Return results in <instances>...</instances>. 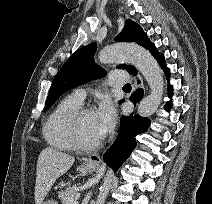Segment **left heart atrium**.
<instances>
[{"label": "left heart atrium", "mask_w": 212, "mask_h": 204, "mask_svg": "<svg viewBox=\"0 0 212 204\" xmlns=\"http://www.w3.org/2000/svg\"><path fill=\"white\" fill-rule=\"evenodd\" d=\"M95 113L99 123L101 137L103 138L115 126L116 110L112 103L105 101L100 104Z\"/></svg>", "instance_id": "obj_1"}]
</instances>
